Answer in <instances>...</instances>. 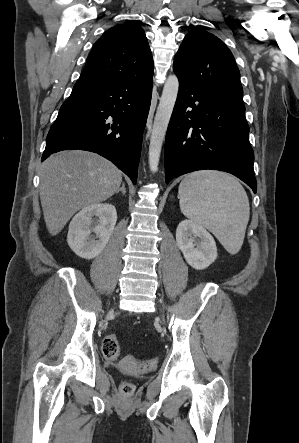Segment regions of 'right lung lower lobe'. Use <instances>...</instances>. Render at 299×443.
<instances>
[{
  "mask_svg": "<svg viewBox=\"0 0 299 443\" xmlns=\"http://www.w3.org/2000/svg\"><path fill=\"white\" fill-rule=\"evenodd\" d=\"M152 78L75 85L50 128L42 161L62 150H87L112 161L135 184Z\"/></svg>",
  "mask_w": 299,
  "mask_h": 443,
  "instance_id": "98d812e1",
  "label": "right lung lower lobe"
}]
</instances>
